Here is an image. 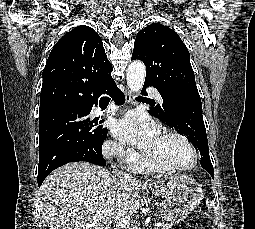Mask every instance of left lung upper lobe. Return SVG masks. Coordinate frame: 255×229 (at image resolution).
Returning a JSON list of instances; mask_svg holds the SVG:
<instances>
[{
    "mask_svg": "<svg viewBox=\"0 0 255 229\" xmlns=\"http://www.w3.org/2000/svg\"><path fill=\"white\" fill-rule=\"evenodd\" d=\"M132 59H139L146 66V85L159 93H168L162 106L150 108L151 114L163 123L185 135L201 154L208 149L207 135L185 130L190 123L173 121L171 111L175 103L201 101L190 64L189 51L179 35L167 26L152 23L137 34Z\"/></svg>",
    "mask_w": 255,
    "mask_h": 229,
    "instance_id": "left-lung-upper-lobe-1",
    "label": "left lung upper lobe"
}]
</instances>
